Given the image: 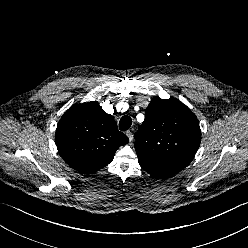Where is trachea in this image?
Masks as SVG:
<instances>
[{
	"instance_id": "trachea-1",
	"label": "trachea",
	"mask_w": 248,
	"mask_h": 248,
	"mask_svg": "<svg viewBox=\"0 0 248 248\" xmlns=\"http://www.w3.org/2000/svg\"><path fill=\"white\" fill-rule=\"evenodd\" d=\"M132 119L130 116H123L119 122V128L121 131H126L131 127Z\"/></svg>"
}]
</instances>
